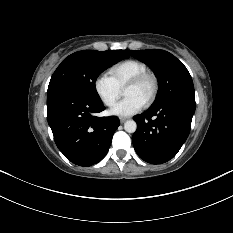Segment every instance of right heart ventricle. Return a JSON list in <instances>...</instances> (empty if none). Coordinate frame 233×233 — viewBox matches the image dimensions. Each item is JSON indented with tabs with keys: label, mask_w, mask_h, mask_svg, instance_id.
<instances>
[{
	"label": "right heart ventricle",
	"mask_w": 233,
	"mask_h": 233,
	"mask_svg": "<svg viewBox=\"0 0 233 233\" xmlns=\"http://www.w3.org/2000/svg\"><path fill=\"white\" fill-rule=\"evenodd\" d=\"M146 71H148V67L144 62L136 59H128L111 67L109 76L122 89L129 80Z\"/></svg>",
	"instance_id": "1"
}]
</instances>
